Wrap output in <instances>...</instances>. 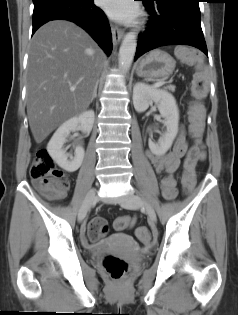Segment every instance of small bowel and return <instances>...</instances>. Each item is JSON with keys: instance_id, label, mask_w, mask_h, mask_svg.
<instances>
[{"instance_id": "c3829d8e", "label": "small bowel", "mask_w": 238, "mask_h": 315, "mask_svg": "<svg viewBox=\"0 0 238 315\" xmlns=\"http://www.w3.org/2000/svg\"><path fill=\"white\" fill-rule=\"evenodd\" d=\"M185 155L186 161L184 164L182 184L184 185L185 180H190L193 187L195 183V167L198 161L204 158V151L200 146L195 145L189 148L185 136L181 134L170 152L164 155H157L152 152H148V158L150 159L156 172L166 174L160 180L162 194L166 199H173L177 194L175 173L180 166L181 158ZM62 196L63 195L60 197ZM134 223L135 219L131 220V225ZM141 240L145 246L150 243V239Z\"/></svg>"}]
</instances>
